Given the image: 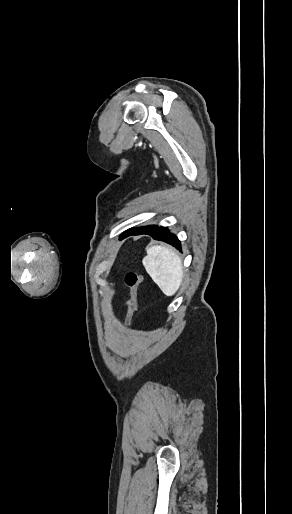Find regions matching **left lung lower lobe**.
Listing matches in <instances>:
<instances>
[{
    "instance_id": "1",
    "label": "left lung lower lobe",
    "mask_w": 292,
    "mask_h": 514,
    "mask_svg": "<svg viewBox=\"0 0 292 514\" xmlns=\"http://www.w3.org/2000/svg\"><path fill=\"white\" fill-rule=\"evenodd\" d=\"M141 234H147L150 235L155 240H160L166 243L171 244L172 246L176 247L177 249H181V242L178 239V237L174 234H172L166 227L163 226H157V225H151L148 229L139 232V233H133L130 235H141ZM128 235V236H130Z\"/></svg>"
}]
</instances>
